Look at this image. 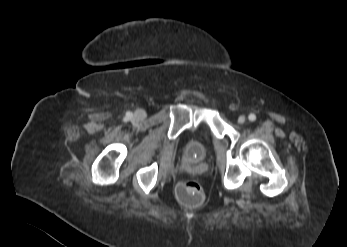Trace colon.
Instances as JSON below:
<instances>
[{
  "instance_id": "obj_1",
  "label": "colon",
  "mask_w": 347,
  "mask_h": 247,
  "mask_svg": "<svg viewBox=\"0 0 347 247\" xmlns=\"http://www.w3.org/2000/svg\"><path fill=\"white\" fill-rule=\"evenodd\" d=\"M178 195L180 200L189 206H199L204 200V191L201 184L194 180L181 183Z\"/></svg>"
}]
</instances>
